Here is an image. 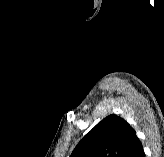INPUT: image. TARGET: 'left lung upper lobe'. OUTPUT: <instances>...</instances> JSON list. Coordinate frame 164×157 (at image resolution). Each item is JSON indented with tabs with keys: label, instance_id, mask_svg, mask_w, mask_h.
Listing matches in <instances>:
<instances>
[{
	"label": "left lung upper lobe",
	"instance_id": "left-lung-upper-lobe-1",
	"mask_svg": "<svg viewBox=\"0 0 164 157\" xmlns=\"http://www.w3.org/2000/svg\"><path fill=\"white\" fill-rule=\"evenodd\" d=\"M135 136L124 119L111 114L80 140L70 157H124Z\"/></svg>",
	"mask_w": 164,
	"mask_h": 157
}]
</instances>
